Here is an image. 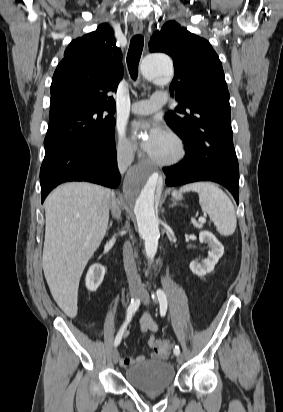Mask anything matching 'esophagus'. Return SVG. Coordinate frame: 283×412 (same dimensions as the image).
Returning a JSON list of instances; mask_svg holds the SVG:
<instances>
[{
  "mask_svg": "<svg viewBox=\"0 0 283 412\" xmlns=\"http://www.w3.org/2000/svg\"><path fill=\"white\" fill-rule=\"evenodd\" d=\"M133 31L135 34H141L143 31V23L142 21H135L133 24Z\"/></svg>",
  "mask_w": 283,
  "mask_h": 412,
  "instance_id": "esophagus-1",
  "label": "esophagus"
}]
</instances>
